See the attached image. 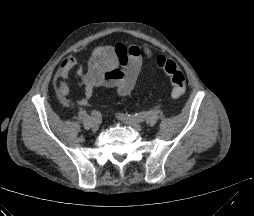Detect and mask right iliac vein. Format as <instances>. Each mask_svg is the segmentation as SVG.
Masks as SVG:
<instances>
[{"instance_id": "right-iliac-vein-1", "label": "right iliac vein", "mask_w": 254, "mask_h": 216, "mask_svg": "<svg viewBox=\"0 0 254 216\" xmlns=\"http://www.w3.org/2000/svg\"><path fill=\"white\" fill-rule=\"evenodd\" d=\"M100 127V123L96 120H94L92 123H91V128L93 131H97Z\"/></svg>"}]
</instances>
